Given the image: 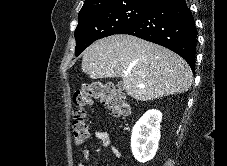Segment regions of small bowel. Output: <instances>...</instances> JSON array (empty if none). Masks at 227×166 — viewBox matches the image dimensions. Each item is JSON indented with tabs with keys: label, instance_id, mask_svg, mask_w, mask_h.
<instances>
[{
	"label": "small bowel",
	"instance_id": "1",
	"mask_svg": "<svg viewBox=\"0 0 227 166\" xmlns=\"http://www.w3.org/2000/svg\"><path fill=\"white\" fill-rule=\"evenodd\" d=\"M95 135L99 139L102 147L111 149V151L113 152L114 156L117 159L122 158L123 156L122 152L113 145L111 136L107 131L98 129L95 131ZM100 151H101L100 147L95 150L96 153H99ZM89 160H90V151L84 150L82 152V156L79 159L77 166H92Z\"/></svg>",
	"mask_w": 227,
	"mask_h": 166
}]
</instances>
